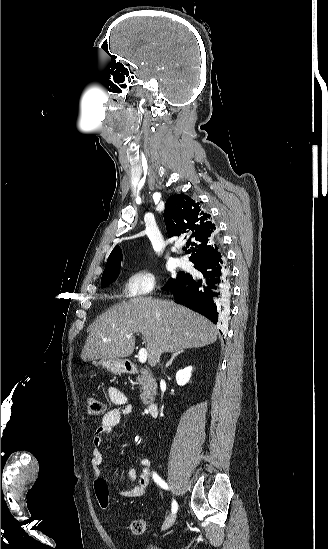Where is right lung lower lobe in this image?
<instances>
[{
    "label": "right lung lower lobe",
    "instance_id": "1",
    "mask_svg": "<svg viewBox=\"0 0 328 549\" xmlns=\"http://www.w3.org/2000/svg\"><path fill=\"white\" fill-rule=\"evenodd\" d=\"M194 268L197 275L188 274L165 287V290H170L178 303L222 327L221 297L227 287L228 276L226 260L223 256L203 260L195 263Z\"/></svg>",
    "mask_w": 328,
    "mask_h": 549
}]
</instances>
